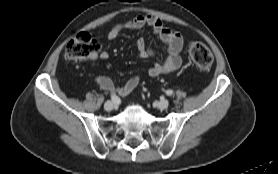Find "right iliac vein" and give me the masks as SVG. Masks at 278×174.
<instances>
[{"label":"right iliac vein","instance_id":"1","mask_svg":"<svg viewBox=\"0 0 278 174\" xmlns=\"http://www.w3.org/2000/svg\"><path fill=\"white\" fill-rule=\"evenodd\" d=\"M114 107H115V105H114L111 101H107V102H105V104H104V109H105L106 111H111V110L114 109Z\"/></svg>","mask_w":278,"mask_h":174}]
</instances>
